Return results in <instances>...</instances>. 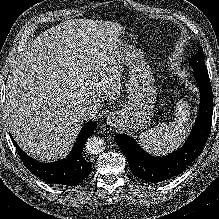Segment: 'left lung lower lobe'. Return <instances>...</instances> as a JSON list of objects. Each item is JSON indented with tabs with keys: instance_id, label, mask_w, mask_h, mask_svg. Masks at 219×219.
Instances as JSON below:
<instances>
[{
	"instance_id": "left-lung-lower-lobe-1",
	"label": "left lung lower lobe",
	"mask_w": 219,
	"mask_h": 219,
	"mask_svg": "<svg viewBox=\"0 0 219 219\" xmlns=\"http://www.w3.org/2000/svg\"><path fill=\"white\" fill-rule=\"evenodd\" d=\"M194 74L201 94L200 109L195 126L180 149L166 157H153L129 136H115V141L124 153L132 173L146 182L158 183L179 175L205 147L212 124L213 93L208 71L194 69Z\"/></svg>"
}]
</instances>
